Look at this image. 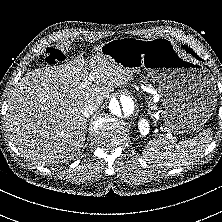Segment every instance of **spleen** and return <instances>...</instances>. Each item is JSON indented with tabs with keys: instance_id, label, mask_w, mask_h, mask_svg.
I'll use <instances>...</instances> for the list:
<instances>
[{
	"instance_id": "obj_1",
	"label": "spleen",
	"mask_w": 222,
	"mask_h": 222,
	"mask_svg": "<svg viewBox=\"0 0 222 222\" xmlns=\"http://www.w3.org/2000/svg\"><path fill=\"white\" fill-rule=\"evenodd\" d=\"M210 131H205L189 140L179 142L174 147L163 135L149 143L143 155L158 166L181 167L193 163L207 149L211 141Z\"/></svg>"
}]
</instances>
